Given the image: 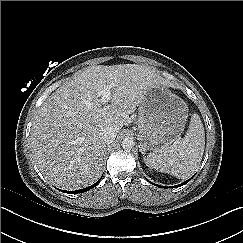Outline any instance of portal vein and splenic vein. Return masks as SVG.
<instances>
[{
  "label": "portal vein and splenic vein",
  "mask_w": 243,
  "mask_h": 243,
  "mask_svg": "<svg viewBox=\"0 0 243 243\" xmlns=\"http://www.w3.org/2000/svg\"><path fill=\"white\" fill-rule=\"evenodd\" d=\"M112 85H107L102 91H101V101L103 104L107 103L111 98V91Z\"/></svg>",
  "instance_id": "18ae733b"
}]
</instances>
